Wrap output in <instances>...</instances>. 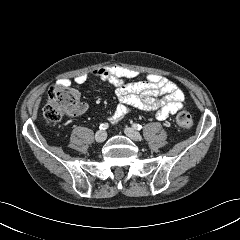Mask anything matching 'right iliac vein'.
<instances>
[{
  "instance_id": "63e3f726",
  "label": "right iliac vein",
  "mask_w": 240,
  "mask_h": 240,
  "mask_svg": "<svg viewBox=\"0 0 240 240\" xmlns=\"http://www.w3.org/2000/svg\"><path fill=\"white\" fill-rule=\"evenodd\" d=\"M107 138V133L105 131H98L95 135V140L97 142H104Z\"/></svg>"
}]
</instances>
